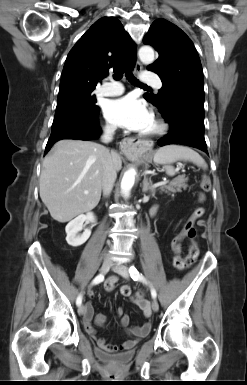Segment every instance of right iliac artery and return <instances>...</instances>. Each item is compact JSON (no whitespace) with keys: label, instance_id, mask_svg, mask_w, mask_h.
<instances>
[{"label":"right iliac artery","instance_id":"1","mask_svg":"<svg viewBox=\"0 0 247 385\" xmlns=\"http://www.w3.org/2000/svg\"><path fill=\"white\" fill-rule=\"evenodd\" d=\"M103 279H104V276H103L102 274H100V275L96 276V277L93 279L92 284H93V285L99 284V283H101V282L103 281ZM81 303H82V294H80V295L77 297V299H76V304H77V306H80Z\"/></svg>","mask_w":247,"mask_h":385}]
</instances>
